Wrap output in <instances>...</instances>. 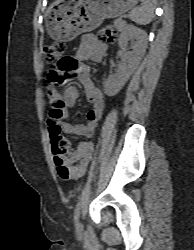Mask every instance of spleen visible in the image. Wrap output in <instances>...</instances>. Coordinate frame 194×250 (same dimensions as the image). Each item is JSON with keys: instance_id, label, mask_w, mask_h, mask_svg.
<instances>
[{"instance_id": "1", "label": "spleen", "mask_w": 194, "mask_h": 250, "mask_svg": "<svg viewBox=\"0 0 194 250\" xmlns=\"http://www.w3.org/2000/svg\"><path fill=\"white\" fill-rule=\"evenodd\" d=\"M140 7L134 8L129 15V18L139 25L149 24L154 17V7L156 0H140Z\"/></svg>"}]
</instances>
